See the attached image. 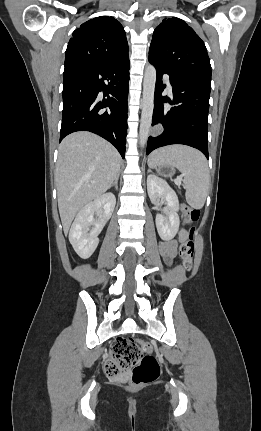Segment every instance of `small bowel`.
Returning a JSON list of instances; mask_svg holds the SVG:
<instances>
[{"mask_svg":"<svg viewBox=\"0 0 261 431\" xmlns=\"http://www.w3.org/2000/svg\"><path fill=\"white\" fill-rule=\"evenodd\" d=\"M185 230L181 229L178 235V240L173 239L169 241H163L159 245L160 253L167 265H172L174 258L177 254L178 244L182 242Z\"/></svg>","mask_w":261,"mask_h":431,"instance_id":"1","label":"small bowel"}]
</instances>
